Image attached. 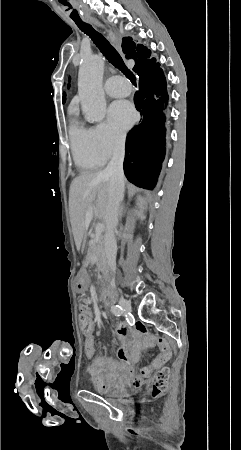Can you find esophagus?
Segmentation results:
<instances>
[{
	"label": "esophagus",
	"instance_id": "obj_1",
	"mask_svg": "<svg viewBox=\"0 0 241 450\" xmlns=\"http://www.w3.org/2000/svg\"><path fill=\"white\" fill-rule=\"evenodd\" d=\"M89 21L91 22H95L96 24L102 26L97 20H95L94 18H91ZM108 38L112 43H115L116 37L115 34L112 31H108Z\"/></svg>",
	"mask_w": 241,
	"mask_h": 450
}]
</instances>
